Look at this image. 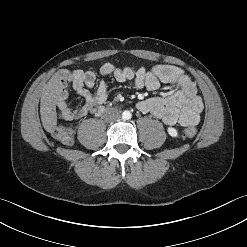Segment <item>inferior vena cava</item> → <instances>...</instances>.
Returning a JSON list of instances; mask_svg holds the SVG:
<instances>
[{"label":"inferior vena cava","instance_id":"602c4592","mask_svg":"<svg viewBox=\"0 0 247 247\" xmlns=\"http://www.w3.org/2000/svg\"><path fill=\"white\" fill-rule=\"evenodd\" d=\"M104 118L109 122L117 121L120 119V113L115 109H109L104 114Z\"/></svg>","mask_w":247,"mask_h":247}]
</instances>
